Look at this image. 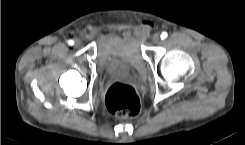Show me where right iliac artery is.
I'll list each match as a JSON object with an SVG mask.
<instances>
[{
	"label": "right iliac artery",
	"instance_id": "obj_1",
	"mask_svg": "<svg viewBox=\"0 0 245 145\" xmlns=\"http://www.w3.org/2000/svg\"><path fill=\"white\" fill-rule=\"evenodd\" d=\"M68 44L72 46V45L74 44V41L70 39V40L68 41Z\"/></svg>",
	"mask_w": 245,
	"mask_h": 145
}]
</instances>
